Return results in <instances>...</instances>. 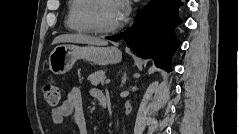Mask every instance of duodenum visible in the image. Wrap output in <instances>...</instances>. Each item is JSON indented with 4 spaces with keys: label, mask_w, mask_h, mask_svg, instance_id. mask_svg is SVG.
<instances>
[{
    "label": "duodenum",
    "mask_w": 239,
    "mask_h": 134,
    "mask_svg": "<svg viewBox=\"0 0 239 134\" xmlns=\"http://www.w3.org/2000/svg\"><path fill=\"white\" fill-rule=\"evenodd\" d=\"M100 103L104 108H107L109 105V100L105 94H103L100 98Z\"/></svg>",
    "instance_id": "obj_1"
}]
</instances>
